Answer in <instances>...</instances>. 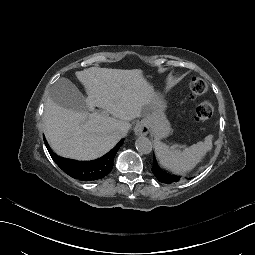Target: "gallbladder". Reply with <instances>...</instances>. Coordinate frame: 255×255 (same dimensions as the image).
<instances>
[{
    "mask_svg": "<svg viewBox=\"0 0 255 255\" xmlns=\"http://www.w3.org/2000/svg\"><path fill=\"white\" fill-rule=\"evenodd\" d=\"M49 98L58 106L85 112L87 104L79 89L67 78H59L49 91Z\"/></svg>",
    "mask_w": 255,
    "mask_h": 255,
    "instance_id": "gallbladder-1",
    "label": "gallbladder"
}]
</instances>
